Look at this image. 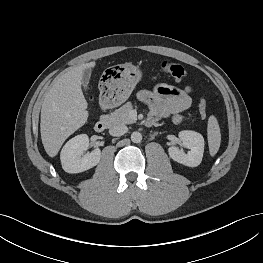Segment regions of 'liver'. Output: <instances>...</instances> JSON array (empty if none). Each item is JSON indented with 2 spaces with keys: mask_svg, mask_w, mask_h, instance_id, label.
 I'll return each instance as SVG.
<instances>
[{
  "mask_svg": "<svg viewBox=\"0 0 263 263\" xmlns=\"http://www.w3.org/2000/svg\"><path fill=\"white\" fill-rule=\"evenodd\" d=\"M95 65L89 62L70 68L52 82L44 95L40 132L50 157H55L64 141L88 120V105L81 84L84 70Z\"/></svg>",
  "mask_w": 263,
  "mask_h": 263,
  "instance_id": "obj_1",
  "label": "liver"
}]
</instances>
